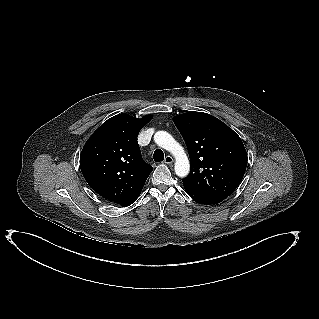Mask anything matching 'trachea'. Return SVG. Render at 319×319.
I'll list each match as a JSON object with an SVG mask.
<instances>
[{"label": "trachea", "mask_w": 319, "mask_h": 319, "mask_svg": "<svg viewBox=\"0 0 319 319\" xmlns=\"http://www.w3.org/2000/svg\"><path fill=\"white\" fill-rule=\"evenodd\" d=\"M153 159L155 162H161L164 160V153L161 149H156L153 154Z\"/></svg>", "instance_id": "trachea-1"}]
</instances>
